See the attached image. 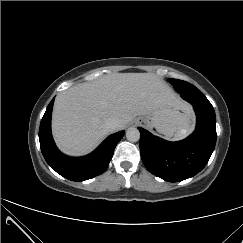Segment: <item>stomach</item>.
Segmentation results:
<instances>
[{
	"instance_id": "1",
	"label": "stomach",
	"mask_w": 243,
	"mask_h": 243,
	"mask_svg": "<svg viewBox=\"0 0 243 243\" xmlns=\"http://www.w3.org/2000/svg\"><path fill=\"white\" fill-rule=\"evenodd\" d=\"M137 120L155 128L168 139H178L191 131L194 118L191 109L164 106Z\"/></svg>"
}]
</instances>
